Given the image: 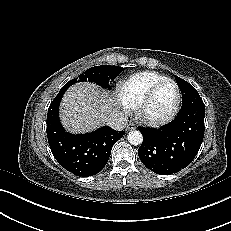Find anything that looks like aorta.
<instances>
[{
  "label": "aorta",
  "mask_w": 231,
  "mask_h": 231,
  "mask_svg": "<svg viewBox=\"0 0 231 231\" xmlns=\"http://www.w3.org/2000/svg\"><path fill=\"white\" fill-rule=\"evenodd\" d=\"M127 139L131 145L137 146V145L142 144L143 136H142L141 132L134 130V131H130L128 133Z\"/></svg>",
  "instance_id": "762f6f07"
}]
</instances>
